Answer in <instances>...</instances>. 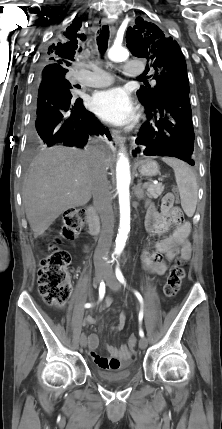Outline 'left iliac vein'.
Masks as SVG:
<instances>
[{
    "mask_svg": "<svg viewBox=\"0 0 222 429\" xmlns=\"http://www.w3.org/2000/svg\"><path fill=\"white\" fill-rule=\"evenodd\" d=\"M105 281L106 284L111 288L113 291H119L120 290V284L117 281L114 272L110 266L106 268L105 272ZM148 341L145 337H141L139 340V347L141 349H144L147 347Z\"/></svg>",
    "mask_w": 222,
    "mask_h": 429,
    "instance_id": "1",
    "label": "left iliac vein"
}]
</instances>
